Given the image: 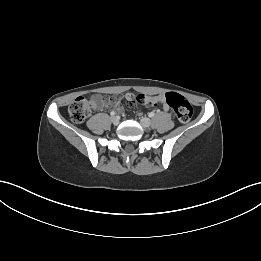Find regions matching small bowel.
<instances>
[{"instance_id": "small-bowel-1", "label": "small bowel", "mask_w": 261, "mask_h": 261, "mask_svg": "<svg viewBox=\"0 0 261 261\" xmlns=\"http://www.w3.org/2000/svg\"><path fill=\"white\" fill-rule=\"evenodd\" d=\"M125 100L133 107H155L156 105H160L164 111H169L170 109L163 94L148 96L144 93L135 95L133 92H128L125 95ZM92 102L94 108L100 111L106 109L108 106H112L118 111L122 109L117 98L106 101L101 95H94Z\"/></svg>"}]
</instances>
